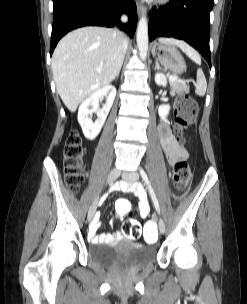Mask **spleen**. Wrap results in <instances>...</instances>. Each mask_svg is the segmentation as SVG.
Instances as JSON below:
<instances>
[{"label": "spleen", "mask_w": 247, "mask_h": 304, "mask_svg": "<svg viewBox=\"0 0 247 304\" xmlns=\"http://www.w3.org/2000/svg\"><path fill=\"white\" fill-rule=\"evenodd\" d=\"M186 54L196 63L200 64L201 59L196 52H186ZM207 88V81L202 69L197 70V86L195 89V93L198 96H204Z\"/></svg>", "instance_id": "3e777b00"}]
</instances>
